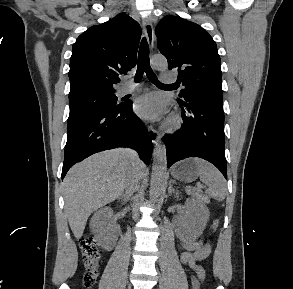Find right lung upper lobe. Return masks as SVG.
I'll return each mask as SVG.
<instances>
[{"mask_svg":"<svg viewBox=\"0 0 293 289\" xmlns=\"http://www.w3.org/2000/svg\"><path fill=\"white\" fill-rule=\"evenodd\" d=\"M140 36L139 24L125 13L82 33L70 58L69 102L115 93L119 75L136 65Z\"/></svg>","mask_w":293,"mask_h":289,"instance_id":"cb5924a9","label":"right lung upper lobe"}]
</instances>
